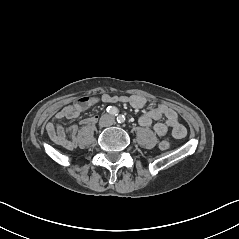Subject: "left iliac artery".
<instances>
[{
	"mask_svg": "<svg viewBox=\"0 0 239 239\" xmlns=\"http://www.w3.org/2000/svg\"><path fill=\"white\" fill-rule=\"evenodd\" d=\"M117 121H118L119 123H123V122L125 121L124 115H119V116L117 117Z\"/></svg>",
	"mask_w": 239,
	"mask_h": 239,
	"instance_id": "left-iliac-artery-1",
	"label": "left iliac artery"
}]
</instances>
